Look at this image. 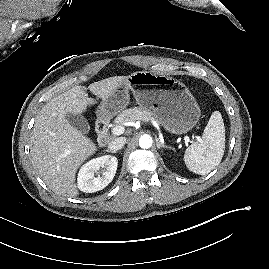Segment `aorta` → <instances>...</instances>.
Here are the masks:
<instances>
[{"instance_id": "1", "label": "aorta", "mask_w": 269, "mask_h": 269, "mask_svg": "<svg viewBox=\"0 0 269 269\" xmlns=\"http://www.w3.org/2000/svg\"><path fill=\"white\" fill-rule=\"evenodd\" d=\"M153 140L149 135H143L139 139V146L143 149H149L152 146Z\"/></svg>"}]
</instances>
